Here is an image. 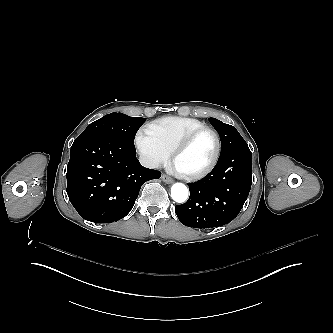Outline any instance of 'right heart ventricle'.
<instances>
[{
    "instance_id": "e07e8e85",
    "label": "right heart ventricle",
    "mask_w": 333,
    "mask_h": 333,
    "mask_svg": "<svg viewBox=\"0 0 333 333\" xmlns=\"http://www.w3.org/2000/svg\"><path fill=\"white\" fill-rule=\"evenodd\" d=\"M205 126L203 122L193 118L170 116L145 124L138 137L169 153L185 134Z\"/></svg>"
}]
</instances>
